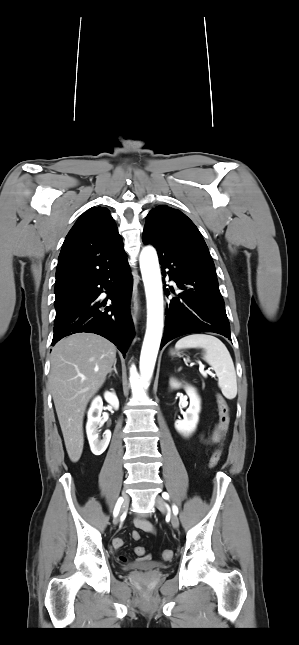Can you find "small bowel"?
<instances>
[{"mask_svg": "<svg viewBox=\"0 0 299 645\" xmlns=\"http://www.w3.org/2000/svg\"><path fill=\"white\" fill-rule=\"evenodd\" d=\"M218 439H219V428L217 427L214 430V432L212 433V435L210 436V438L208 439V442L209 443H215L216 441H218ZM135 525H136V527L138 529H140L142 531H145V532H153L154 531V528H153L152 524L150 522L146 521V520H143V519H137L135 521ZM123 544H124V541H123V539L121 537H116L113 540V546H114L115 549H120L123 546ZM149 559H150L149 555H145V556L140 558L141 561H147ZM120 560L121 561H126V558L124 556H120Z\"/></svg>", "mask_w": 299, "mask_h": 645, "instance_id": "obj_1", "label": "small bowel"}]
</instances>
